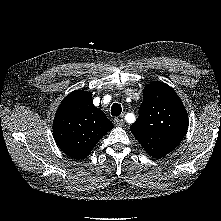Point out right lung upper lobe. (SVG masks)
<instances>
[{
  "mask_svg": "<svg viewBox=\"0 0 221 221\" xmlns=\"http://www.w3.org/2000/svg\"><path fill=\"white\" fill-rule=\"evenodd\" d=\"M113 129L104 112L93 105L92 94L74 91L59 105L53 134L59 148L76 159L87 157L98 141Z\"/></svg>",
  "mask_w": 221,
  "mask_h": 221,
  "instance_id": "1",
  "label": "right lung upper lobe"
}]
</instances>
